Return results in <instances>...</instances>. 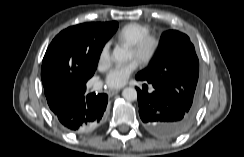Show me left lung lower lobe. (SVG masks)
<instances>
[{
  "label": "left lung lower lobe",
  "instance_id": "left-lung-lower-lobe-1",
  "mask_svg": "<svg viewBox=\"0 0 244 157\" xmlns=\"http://www.w3.org/2000/svg\"><path fill=\"white\" fill-rule=\"evenodd\" d=\"M137 80H141L136 78ZM152 93L137 89L139 115L144 127L160 138H174L182 134L191 124L196 111L191 104L182 103L163 90L157 83Z\"/></svg>",
  "mask_w": 244,
  "mask_h": 157
}]
</instances>
